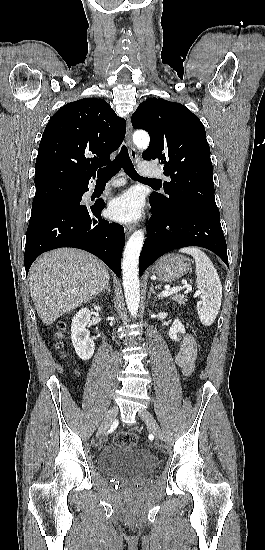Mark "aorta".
<instances>
[{
  "mask_svg": "<svg viewBox=\"0 0 265 550\" xmlns=\"http://www.w3.org/2000/svg\"><path fill=\"white\" fill-rule=\"evenodd\" d=\"M133 141L138 148L142 149L148 147L150 138L146 132H136L133 135ZM143 243L144 232L142 230L135 231L125 246L122 260L125 298L129 313L133 317L138 313L140 302L138 260Z\"/></svg>",
  "mask_w": 265,
  "mask_h": 550,
  "instance_id": "1",
  "label": "aorta"
}]
</instances>
